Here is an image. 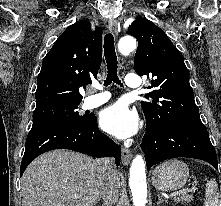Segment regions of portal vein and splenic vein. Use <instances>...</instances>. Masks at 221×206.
<instances>
[{"mask_svg":"<svg viewBox=\"0 0 221 206\" xmlns=\"http://www.w3.org/2000/svg\"><path fill=\"white\" fill-rule=\"evenodd\" d=\"M188 191H189L188 188L182 189V190H180V191H178V192H175V193L170 194L169 196H170L171 198H176L178 195L184 194V193H186V192H188Z\"/></svg>","mask_w":221,"mask_h":206,"instance_id":"18ae733b","label":"portal vein and splenic vein"}]
</instances>
